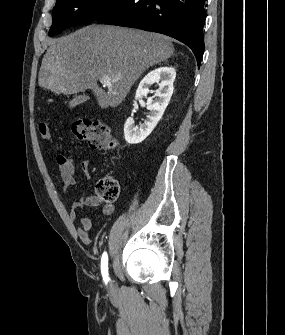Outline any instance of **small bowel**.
<instances>
[{
    "instance_id": "c3829d8e",
    "label": "small bowel",
    "mask_w": 285,
    "mask_h": 335,
    "mask_svg": "<svg viewBox=\"0 0 285 335\" xmlns=\"http://www.w3.org/2000/svg\"><path fill=\"white\" fill-rule=\"evenodd\" d=\"M57 164L60 171V178L62 188L64 191H68L72 186L75 185V164L63 155L57 156ZM80 170L86 178H89V161H83L80 164ZM103 205V214L111 215L115 211L113 204L103 202L99 197L89 196L82 197L77 201H74L69 212V217L72 221H76L78 218L77 211L81 208H90ZM80 228L78 229V236L84 244H90L92 241V218L89 215H84L80 218Z\"/></svg>"
}]
</instances>
